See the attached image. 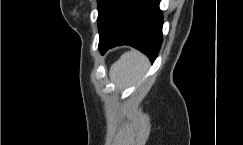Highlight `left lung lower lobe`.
Here are the masks:
<instances>
[{
	"mask_svg": "<svg viewBox=\"0 0 243 145\" xmlns=\"http://www.w3.org/2000/svg\"><path fill=\"white\" fill-rule=\"evenodd\" d=\"M160 0H129L106 34L99 35L104 54L117 45H130L154 62L162 44L163 16Z\"/></svg>",
	"mask_w": 243,
	"mask_h": 145,
	"instance_id": "left-lung-lower-lobe-1",
	"label": "left lung lower lobe"
}]
</instances>
